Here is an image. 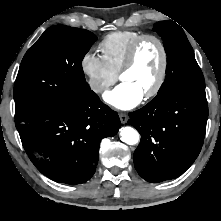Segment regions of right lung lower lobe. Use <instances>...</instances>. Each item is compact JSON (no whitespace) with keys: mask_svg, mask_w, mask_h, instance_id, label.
<instances>
[{"mask_svg":"<svg viewBox=\"0 0 221 221\" xmlns=\"http://www.w3.org/2000/svg\"><path fill=\"white\" fill-rule=\"evenodd\" d=\"M23 147L36 168L59 183L76 185L96 170L100 142L120 128L115 111L90 89L67 103L15 120Z\"/></svg>","mask_w":221,"mask_h":221,"instance_id":"obj_1","label":"right lung lower lobe"}]
</instances>
